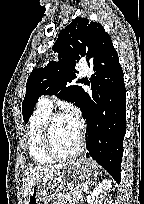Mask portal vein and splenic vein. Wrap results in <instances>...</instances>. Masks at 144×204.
<instances>
[{"instance_id": "obj_1", "label": "portal vein and splenic vein", "mask_w": 144, "mask_h": 204, "mask_svg": "<svg viewBox=\"0 0 144 204\" xmlns=\"http://www.w3.org/2000/svg\"><path fill=\"white\" fill-rule=\"evenodd\" d=\"M75 195H76L77 198H80V197H81V195L79 194V192H76Z\"/></svg>"}]
</instances>
